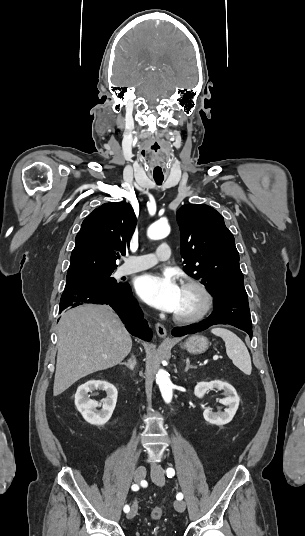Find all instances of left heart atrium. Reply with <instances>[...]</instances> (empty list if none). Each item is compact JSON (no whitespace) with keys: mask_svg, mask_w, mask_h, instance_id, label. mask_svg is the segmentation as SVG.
I'll return each instance as SVG.
<instances>
[{"mask_svg":"<svg viewBox=\"0 0 305 536\" xmlns=\"http://www.w3.org/2000/svg\"><path fill=\"white\" fill-rule=\"evenodd\" d=\"M135 290L144 302L162 311L175 312L180 303L181 287L170 272L141 275Z\"/></svg>","mask_w":305,"mask_h":536,"instance_id":"1","label":"left heart atrium"}]
</instances>
